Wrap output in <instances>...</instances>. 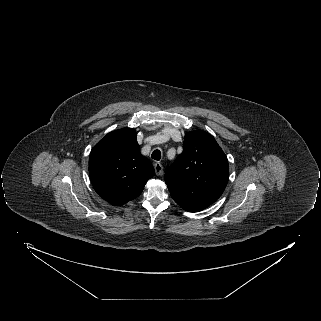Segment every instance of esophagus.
<instances>
[{
  "label": "esophagus",
  "mask_w": 321,
  "mask_h": 321,
  "mask_svg": "<svg viewBox=\"0 0 321 321\" xmlns=\"http://www.w3.org/2000/svg\"><path fill=\"white\" fill-rule=\"evenodd\" d=\"M154 169H155L156 175H158V176H160L162 174V172H163V166L159 162L154 164Z\"/></svg>",
  "instance_id": "obj_1"
}]
</instances>
